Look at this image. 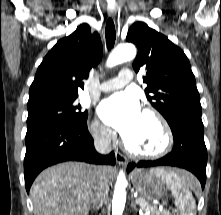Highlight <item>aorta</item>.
<instances>
[{
	"label": "aorta",
	"mask_w": 221,
	"mask_h": 215,
	"mask_svg": "<svg viewBox=\"0 0 221 215\" xmlns=\"http://www.w3.org/2000/svg\"><path fill=\"white\" fill-rule=\"evenodd\" d=\"M136 56V48L133 44H120L109 55L106 65L114 67L118 64L132 60ZM126 186L127 180L123 170L118 174L115 184L113 200H112V215H122L126 203Z\"/></svg>",
	"instance_id": "762f6f07"
}]
</instances>
